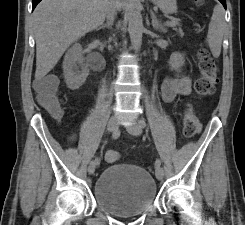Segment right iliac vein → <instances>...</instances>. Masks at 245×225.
<instances>
[{
	"label": "right iliac vein",
	"mask_w": 245,
	"mask_h": 225,
	"mask_svg": "<svg viewBox=\"0 0 245 225\" xmlns=\"http://www.w3.org/2000/svg\"><path fill=\"white\" fill-rule=\"evenodd\" d=\"M118 128V122L116 117H111L107 123V130L109 132H115ZM96 164L94 160H92L88 165V173L93 174L95 172Z\"/></svg>",
	"instance_id": "1"
}]
</instances>
